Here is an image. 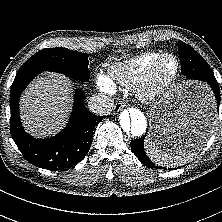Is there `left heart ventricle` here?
<instances>
[{"instance_id":"1","label":"left heart ventricle","mask_w":222,"mask_h":222,"mask_svg":"<svg viewBox=\"0 0 222 222\" xmlns=\"http://www.w3.org/2000/svg\"><path fill=\"white\" fill-rule=\"evenodd\" d=\"M175 64L174 61L170 58L165 59L161 62L157 69V75L160 78L168 77L174 70Z\"/></svg>"}]
</instances>
